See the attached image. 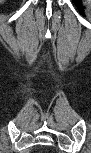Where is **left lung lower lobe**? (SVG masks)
Returning <instances> with one entry per match:
<instances>
[{
	"instance_id": "obj_1",
	"label": "left lung lower lobe",
	"mask_w": 91,
	"mask_h": 153,
	"mask_svg": "<svg viewBox=\"0 0 91 153\" xmlns=\"http://www.w3.org/2000/svg\"><path fill=\"white\" fill-rule=\"evenodd\" d=\"M73 3H75L81 9V0H73Z\"/></svg>"
}]
</instances>
